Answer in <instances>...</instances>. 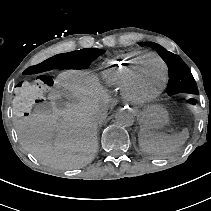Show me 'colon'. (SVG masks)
Here are the masks:
<instances>
[{
    "label": "colon",
    "mask_w": 211,
    "mask_h": 211,
    "mask_svg": "<svg viewBox=\"0 0 211 211\" xmlns=\"http://www.w3.org/2000/svg\"><path fill=\"white\" fill-rule=\"evenodd\" d=\"M54 77L42 74L29 81H21L16 86L13 99V110L17 116H28L34 107L42 102L54 85Z\"/></svg>",
    "instance_id": "1"
}]
</instances>
